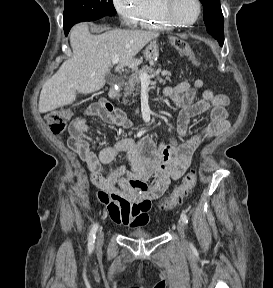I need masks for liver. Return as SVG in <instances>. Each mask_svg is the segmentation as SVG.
Masks as SVG:
<instances>
[{
  "label": "liver",
  "instance_id": "6515ba94",
  "mask_svg": "<svg viewBox=\"0 0 273 288\" xmlns=\"http://www.w3.org/2000/svg\"><path fill=\"white\" fill-rule=\"evenodd\" d=\"M159 36L158 32L115 29L92 35L87 23L70 31L73 55L42 87L38 109L47 113L72 104L78 93H93L105 85V76L114 57H119L115 71L137 68L142 60L135 58L141 49Z\"/></svg>",
  "mask_w": 273,
  "mask_h": 288
}]
</instances>
